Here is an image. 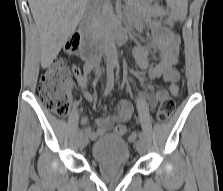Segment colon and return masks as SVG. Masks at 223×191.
<instances>
[{
	"instance_id": "colon-1",
	"label": "colon",
	"mask_w": 223,
	"mask_h": 191,
	"mask_svg": "<svg viewBox=\"0 0 223 191\" xmlns=\"http://www.w3.org/2000/svg\"><path fill=\"white\" fill-rule=\"evenodd\" d=\"M164 21L168 25H172V20L165 17ZM80 45V36L73 35L65 44L67 53H74ZM73 73L79 76L81 71L79 68H73ZM70 70L63 58H57L44 71L38 85V94L47 109L57 116H65L70 108L71 97L69 91ZM175 109V101L172 97L162 99L157 112L156 119L159 122H165L169 119ZM115 133L118 136L127 135V129L124 126H117ZM136 136L134 133L129 134V140L134 142Z\"/></svg>"
}]
</instances>
